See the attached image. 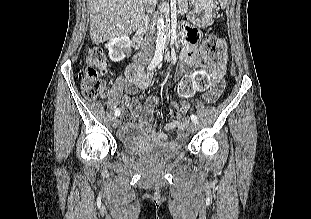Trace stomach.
Returning <instances> with one entry per match:
<instances>
[{
	"mask_svg": "<svg viewBox=\"0 0 311 219\" xmlns=\"http://www.w3.org/2000/svg\"><path fill=\"white\" fill-rule=\"evenodd\" d=\"M193 10L188 19L196 26L205 28L212 24L214 14V0H191Z\"/></svg>",
	"mask_w": 311,
	"mask_h": 219,
	"instance_id": "1",
	"label": "stomach"
}]
</instances>
